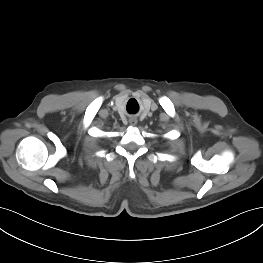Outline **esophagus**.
Masks as SVG:
<instances>
[{
  "label": "esophagus",
  "instance_id": "esophagus-1",
  "mask_svg": "<svg viewBox=\"0 0 263 263\" xmlns=\"http://www.w3.org/2000/svg\"><path fill=\"white\" fill-rule=\"evenodd\" d=\"M136 119H132L131 121H130V123L132 124V125H135L136 124Z\"/></svg>",
  "mask_w": 263,
  "mask_h": 263
}]
</instances>
